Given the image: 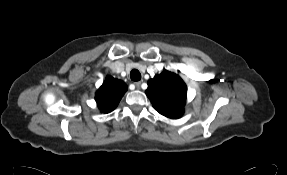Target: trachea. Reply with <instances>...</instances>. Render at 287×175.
Masks as SVG:
<instances>
[{
  "label": "trachea",
  "mask_w": 287,
  "mask_h": 175,
  "mask_svg": "<svg viewBox=\"0 0 287 175\" xmlns=\"http://www.w3.org/2000/svg\"><path fill=\"white\" fill-rule=\"evenodd\" d=\"M130 78L133 81H139L141 79V74H140V72L137 69H133L130 72Z\"/></svg>",
  "instance_id": "3493384b"
}]
</instances>
